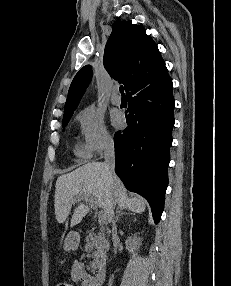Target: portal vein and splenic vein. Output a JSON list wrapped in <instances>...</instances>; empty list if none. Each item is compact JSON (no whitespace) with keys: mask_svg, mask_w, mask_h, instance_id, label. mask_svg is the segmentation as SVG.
<instances>
[{"mask_svg":"<svg viewBox=\"0 0 231 286\" xmlns=\"http://www.w3.org/2000/svg\"><path fill=\"white\" fill-rule=\"evenodd\" d=\"M85 200L89 203V205L92 207V208H96L97 207V201L95 199H93L92 197H88L86 196L85 197ZM77 201L79 200H74L73 201V204H75ZM106 222V216L105 214L103 213V211H100L98 213V223L100 225H103L104 223Z\"/></svg>","mask_w":231,"mask_h":286,"instance_id":"obj_1","label":"portal vein and splenic vein"}]
</instances>
